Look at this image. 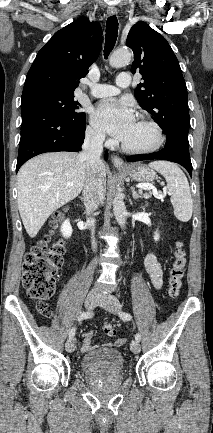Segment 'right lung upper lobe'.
<instances>
[{
    "instance_id": "cb5924a9",
    "label": "right lung upper lobe",
    "mask_w": 213,
    "mask_h": 433,
    "mask_svg": "<svg viewBox=\"0 0 213 433\" xmlns=\"http://www.w3.org/2000/svg\"><path fill=\"white\" fill-rule=\"evenodd\" d=\"M102 46L97 22L81 17L65 26L38 52L27 73L22 96L36 92L74 95Z\"/></svg>"
}]
</instances>
